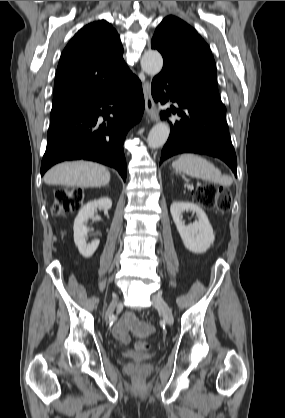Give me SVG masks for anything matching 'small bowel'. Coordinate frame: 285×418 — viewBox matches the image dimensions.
<instances>
[{
  "instance_id": "small-bowel-1",
  "label": "small bowel",
  "mask_w": 285,
  "mask_h": 418,
  "mask_svg": "<svg viewBox=\"0 0 285 418\" xmlns=\"http://www.w3.org/2000/svg\"><path fill=\"white\" fill-rule=\"evenodd\" d=\"M113 335L127 344L130 340L129 333L139 337H148L154 332V326L150 322H143L131 312L125 313L122 318L114 325Z\"/></svg>"
}]
</instances>
